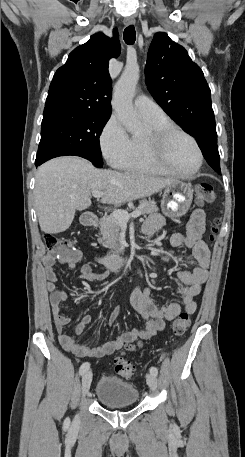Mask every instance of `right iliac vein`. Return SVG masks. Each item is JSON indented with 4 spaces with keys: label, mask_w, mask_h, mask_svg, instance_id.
Segmentation results:
<instances>
[{
    "label": "right iliac vein",
    "mask_w": 245,
    "mask_h": 457,
    "mask_svg": "<svg viewBox=\"0 0 245 457\" xmlns=\"http://www.w3.org/2000/svg\"><path fill=\"white\" fill-rule=\"evenodd\" d=\"M92 382V370H87L82 376V395L85 396L89 391ZM78 418V417H77Z\"/></svg>",
    "instance_id": "right-iliac-vein-1"
}]
</instances>
